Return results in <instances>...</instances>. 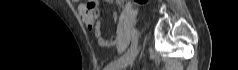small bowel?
Instances as JSON below:
<instances>
[{"label": "small bowel", "mask_w": 238, "mask_h": 70, "mask_svg": "<svg viewBox=\"0 0 238 70\" xmlns=\"http://www.w3.org/2000/svg\"><path fill=\"white\" fill-rule=\"evenodd\" d=\"M110 2V0H108ZM78 12L83 23L87 25V27L94 31L95 36L98 39L99 45L101 47H113L118 43L117 38H112L110 41L106 40L103 37L101 20L99 16V9L97 8L95 2H90L89 4H81L78 8ZM113 19H117V14H113Z\"/></svg>", "instance_id": "1"}]
</instances>
